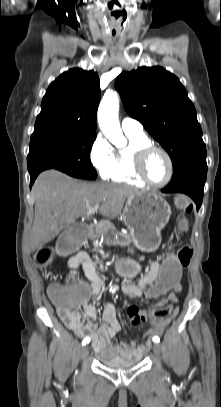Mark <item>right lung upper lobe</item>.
I'll use <instances>...</instances> for the list:
<instances>
[{"label":"right lung upper lobe","mask_w":221,"mask_h":407,"mask_svg":"<svg viewBox=\"0 0 221 407\" xmlns=\"http://www.w3.org/2000/svg\"><path fill=\"white\" fill-rule=\"evenodd\" d=\"M99 101L98 74L80 68L70 69L47 89L34 131L63 129L96 135Z\"/></svg>","instance_id":"1"}]
</instances>
